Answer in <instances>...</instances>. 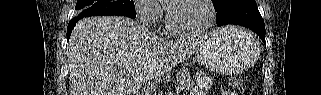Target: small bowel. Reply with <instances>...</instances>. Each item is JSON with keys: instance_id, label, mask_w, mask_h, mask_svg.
<instances>
[{"instance_id": "obj_1", "label": "small bowel", "mask_w": 321, "mask_h": 95, "mask_svg": "<svg viewBox=\"0 0 321 95\" xmlns=\"http://www.w3.org/2000/svg\"><path fill=\"white\" fill-rule=\"evenodd\" d=\"M224 95H235V93L234 92H226V93H224Z\"/></svg>"}]
</instances>
